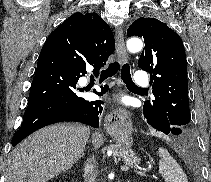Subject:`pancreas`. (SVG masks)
Here are the masks:
<instances>
[{
  "label": "pancreas",
  "mask_w": 211,
  "mask_h": 182,
  "mask_svg": "<svg viewBox=\"0 0 211 182\" xmlns=\"http://www.w3.org/2000/svg\"><path fill=\"white\" fill-rule=\"evenodd\" d=\"M109 149L113 151V159L115 162L122 160L130 167L135 165L137 168H139L138 164L140 159L136 157L132 150L127 149L121 145H112L109 147Z\"/></svg>",
  "instance_id": "pancreas-1"
}]
</instances>
